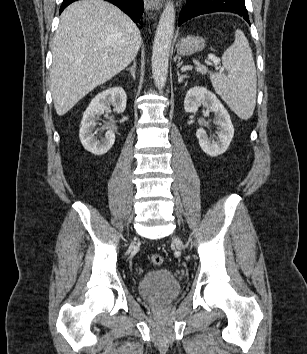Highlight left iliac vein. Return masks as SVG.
<instances>
[{"label":"left iliac vein","instance_id":"1","mask_svg":"<svg viewBox=\"0 0 307 354\" xmlns=\"http://www.w3.org/2000/svg\"><path fill=\"white\" fill-rule=\"evenodd\" d=\"M173 241L177 247L182 248V249L184 248L182 241L178 237H174Z\"/></svg>","mask_w":307,"mask_h":354}]
</instances>
